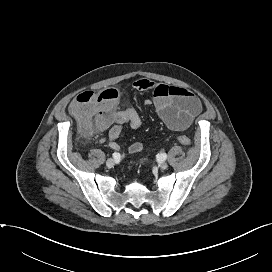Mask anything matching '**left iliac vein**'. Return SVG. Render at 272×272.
<instances>
[{
    "mask_svg": "<svg viewBox=\"0 0 272 272\" xmlns=\"http://www.w3.org/2000/svg\"><path fill=\"white\" fill-rule=\"evenodd\" d=\"M159 167H160V169L165 170V169H167L168 164L163 161V162H160Z\"/></svg>",
    "mask_w": 272,
    "mask_h": 272,
    "instance_id": "obj_1",
    "label": "left iliac vein"
}]
</instances>
